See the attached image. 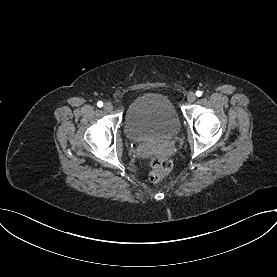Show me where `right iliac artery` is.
Segmentation results:
<instances>
[{
  "instance_id": "82829eb1",
  "label": "right iliac artery",
  "mask_w": 277,
  "mask_h": 277,
  "mask_svg": "<svg viewBox=\"0 0 277 277\" xmlns=\"http://www.w3.org/2000/svg\"><path fill=\"white\" fill-rule=\"evenodd\" d=\"M97 106H98V107H102V106H103V103H102L101 101H99V102L97 103Z\"/></svg>"
}]
</instances>
